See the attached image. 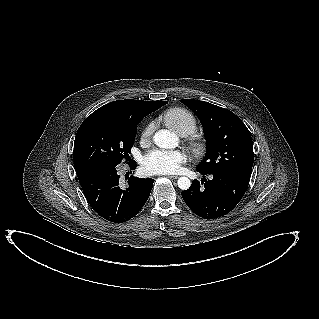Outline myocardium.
I'll list each match as a JSON object with an SVG mask.
<instances>
[{
  "mask_svg": "<svg viewBox=\"0 0 319 319\" xmlns=\"http://www.w3.org/2000/svg\"><path fill=\"white\" fill-rule=\"evenodd\" d=\"M189 145L192 152L198 156H201L206 153L207 144L205 139L202 136H193L189 140Z\"/></svg>",
  "mask_w": 319,
  "mask_h": 319,
  "instance_id": "1",
  "label": "myocardium"
}]
</instances>
